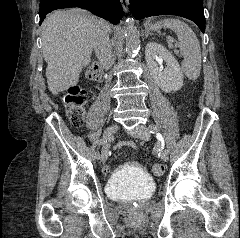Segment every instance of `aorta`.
I'll return each instance as SVG.
<instances>
[{
	"label": "aorta",
	"instance_id": "aorta-1",
	"mask_svg": "<svg viewBox=\"0 0 240 238\" xmlns=\"http://www.w3.org/2000/svg\"><path fill=\"white\" fill-rule=\"evenodd\" d=\"M126 53L130 57L137 55L140 48V35L137 27L128 22L125 28Z\"/></svg>",
	"mask_w": 240,
	"mask_h": 238
}]
</instances>
